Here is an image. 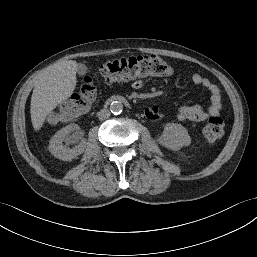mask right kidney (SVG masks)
I'll list each match as a JSON object with an SVG mask.
<instances>
[{
  "label": "right kidney",
  "mask_w": 257,
  "mask_h": 257,
  "mask_svg": "<svg viewBox=\"0 0 257 257\" xmlns=\"http://www.w3.org/2000/svg\"><path fill=\"white\" fill-rule=\"evenodd\" d=\"M78 129V125L70 124L59 130L49 142L48 149L51 154L64 161H70L82 154L85 150V144ZM74 131L75 133L69 136V134ZM79 140H81V142L72 149L63 145V142H66V144H75L79 142Z\"/></svg>",
  "instance_id": "right-kidney-1"
}]
</instances>
